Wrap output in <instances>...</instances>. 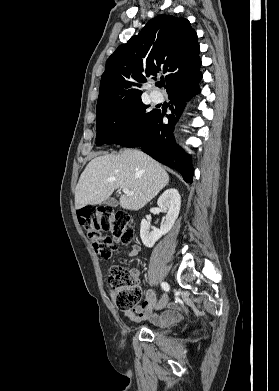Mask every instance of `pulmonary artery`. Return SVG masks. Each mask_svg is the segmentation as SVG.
<instances>
[{
	"label": "pulmonary artery",
	"instance_id": "obj_1",
	"mask_svg": "<svg viewBox=\"0 0 279 391\" xmlns=\"http://www.w3.org/2000/svg\"><path fill=\"white\" fill-rule=\"evenodd\" d=\"M150 97H151V100L154 102V103H160L162 102L163 100V96L161 93L159 92H156V91H152L150 93Z\"/></svg>",
	"mask_w": 279,
	"mask_h": 391
}]
</instances>
